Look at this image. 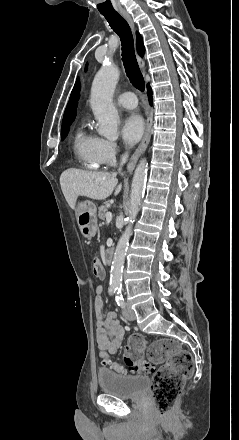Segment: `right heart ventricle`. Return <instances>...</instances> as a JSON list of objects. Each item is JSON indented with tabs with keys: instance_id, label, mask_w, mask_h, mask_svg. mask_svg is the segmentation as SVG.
I'll use <instances>...</instances> for the list:
<instances>
[{
	"instance_id": "obj_1",
	"label": "right heart ventricle",
	"mask_w": 239,
	"mask_h": 440,
	"mask_svg": "<svg viewBox=\"0 0 239 440\" xmlns=\"http://www.w3.org/2000/svg\"><path fill=\"white\" fill-rule=\"evenodd\" d=\"M97 137L78 129L72 138V150L78 164L86 169L97 170L103 162L97 152Z\"/></svg>"
}]
</instances>
